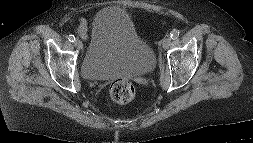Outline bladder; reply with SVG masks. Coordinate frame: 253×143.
Instances as JSON below:
<instances>
[{
    "instance_id": "1",
    "label": "bladder",
    "mask_w": 253,
    "mask_h": 143,
    "mask_svg": "<svg viewBox=\"0 0 253 143\" xmlns=\"http://www.w3.org/2000/svg\"><path fill=\"white\" fill-rule=\"evenodd\" d=\"M156 67L152 47L136 32L130 15L118 6L101 9L93 18L81 68L89 80L138 77Z\"/></svg>"
}]
</instances>
